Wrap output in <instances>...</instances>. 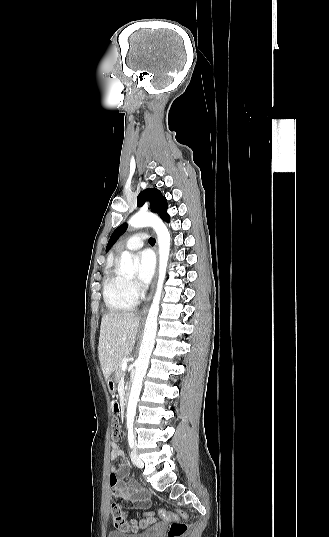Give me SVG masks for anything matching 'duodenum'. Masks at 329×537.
Returning <instances> with one entry per match:
<instances>
[{
  "instance_id": "obj_1",
  "label": "duodenum",
  "mask_w": 329,
  "mask_h": 537,
  "mask_svg": "<svg viewBox=\"0 0 329 537\" xmlns=\"http://www.w3.org/2000/svg\"><path fill=\"white\" fill-rule=\"evenodd\" d=\"M129 398V390L125 393L124 400L127 402Z\"/></svg>"
}]
</instances>
